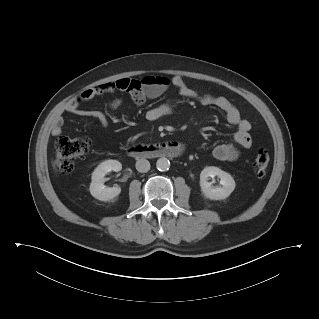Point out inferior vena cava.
Here are the masks:
<instances>
[{"label":"inferior vena cava","instance_id":"602c4592","mask_svg":"<svg viewBox=\"0 0 319 319\" xmlns=\"http://www.w3.org/2000/svg\"><path fill=\"white\" fill-rule=\"evenodd\" d=\"M136 169L138 172L145 173L150 169V163L146 159H139L136 162Z\"/></svg>","mask_w":319,"mask_h":319}]
</instances>
